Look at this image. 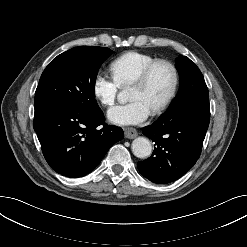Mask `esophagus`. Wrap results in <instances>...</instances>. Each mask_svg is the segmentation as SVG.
<instances>
[{
  "mask_svg": "<svg viewBox=\"0 0 247 247\" xmlns=\"http://www.w3.org/2000/svg\"><path fill=\"white\" fill-rule=\"evenodd\" d=\"M124 135L128 139H133L137 136V131L134 128L127 127L124 128Z\"/></svg>",
  "mask_w": 247,
  "mask_h": 247,
  "instance_id": "esophagus-1",
  "label": "esophagus"
}]
</instances>
